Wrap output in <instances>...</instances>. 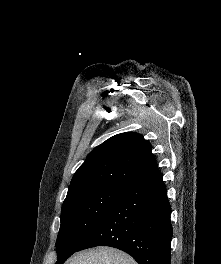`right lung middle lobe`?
I'll list each match as a JSON object with an SVG mask.
<instances>
[{
    "label": "right lung middle lobe",
    "mask_w": 221,
    "mask_h": 264,
    "mask_svg": "<svg viewBox=\"0 0 221 264\" xmlns=\"http://www.w3.org/2000/svg\"><path fill=\"white\" fill-rule=\"evenodd\" d=\"M126 186L100 185L67 196L61 209L57 262L71 256L100 224Z\"/></svg>",
    "instance_id": "1"
}]
</instances>
